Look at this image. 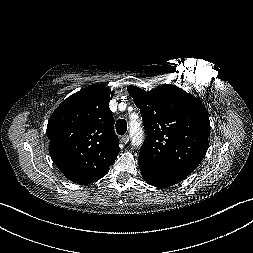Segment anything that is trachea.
<instances>
[{
	"label": "trachea",
	"mask_w": 253,
	"mask_h": 253,
	"mask_svg": "<svg viewBox=\"0 0 253 253\" xmlns=\"http://www.w3.org/2000/svg\"><path fill=\"white\" fill-rule=\"evenodd\" d=\"M116 132L119 134V135H124L127 131V122L124 120V119H119L117 122H116Z\"/></svg>",
	"instance_id": "obj_1"
}]
</instances>
